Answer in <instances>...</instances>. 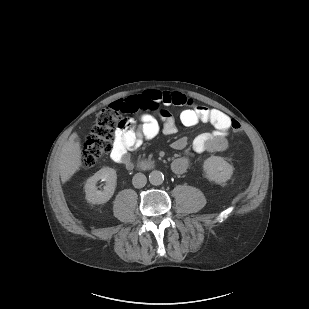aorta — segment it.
I'll return each instance as SVG.
<instances>
[{
    "instance_id": "obj_1",
    "label": "aorta",
    "mask_w": 309,
    "mask_h": 309,
    "mask_svg": "<svg viewBox=\"0 0 309 309\" xmlns=\"http://www.w3.org/2000/svg\"><path fill=\"white\" fill-rule=\"evenodd\" d=\"M164 181V175L162 172L158 171V170H154L149 174V182L152 185H161Z\"/></svg>"
}]
</instances>
